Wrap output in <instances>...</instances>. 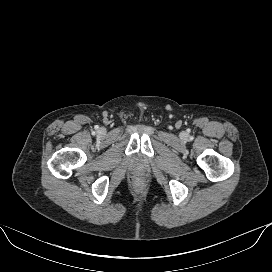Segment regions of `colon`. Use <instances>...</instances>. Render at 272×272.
Wrapping results in <instances>:
<instances>
[{
  "instance_id": "1",
  "label": "colon",
  "mask_w": 272,
  "mask_h": 272,
  "mask_svg": "<svg viewBox=\"0 0 272 272\" xmlns=\"http://www.w3.org/2000/svg\"><path fill=\"white\" fill-rule=\"evenodd\" d=\"M135 182H136L137 184H140V183H141V180H140L139 178H137V179L135 180Z\"/></svg>"
}]
</instances>
